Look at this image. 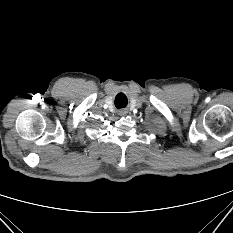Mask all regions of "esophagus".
<instances>
[{
  "label": "esophagus",
  "mask_w": 233,
  "mask_h": 233,
  "mask_svg": "<svg viewBox=\"0 0 233 233\" xmlns=\"http://www.w3.org/2000/svg\"><path fill=\"white\" fill-rule=\"evenodd\" d=\"M127 113H128V111L126 109H123V110L120 111V115H125Z\"/></svg>",
  "instance_id": "esophagus-1"
}]
</instances>
